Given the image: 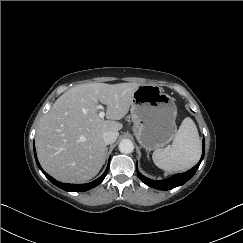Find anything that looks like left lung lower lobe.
Masks as SVG:
<instances>
[{"label": "left lung lower lobe", "mask_w": 243, "mask_h": 243, "mask_svg": "<svg viewBox=\"0 0 243 243\" xmlns=\"http://www.w3.org/2000/svg\"><path fill=\"white\" fill-rule=\"evenodd\" d=\"M204 152H205V140L203 139V154H202V157H201L200 161L198 162V164L195 165L189 171L180 173V174H176L166 180H160V181L151 180L147 177H144L142 174H140V172H138V176H139L140 180L142 182H144L146 185H148L149 187L159 189V190L173 189L177 186H180V185H183L184 183H186L195 174L201 161L203 160Z\"/></svg>", "instance_id": "left-lung-lower-lobe-1"}]
</instances>
